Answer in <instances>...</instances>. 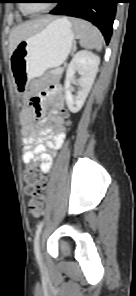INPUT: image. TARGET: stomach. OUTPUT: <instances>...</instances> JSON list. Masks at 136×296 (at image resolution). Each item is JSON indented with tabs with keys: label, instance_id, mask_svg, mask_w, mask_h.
Here are the masks:
<instances>
[{
	"label": "stomach",
	"instance_id": "0dacf381",
	"mask_svg": "<svg viewBox=\"0 0 136 296\" xmlns=\"http://www.w3.org/2000/svg\"><path fill=\"white\" fill-rule=\"evenodd\" d=\"M74 32L67 18H57L20 41L10 57L17 93L25 94L26 82L40 78L48 69L60 66L73 44Z\"/></svg>",
	"mask_w": 136,
	"mask_h": 296
}]
</instances>
